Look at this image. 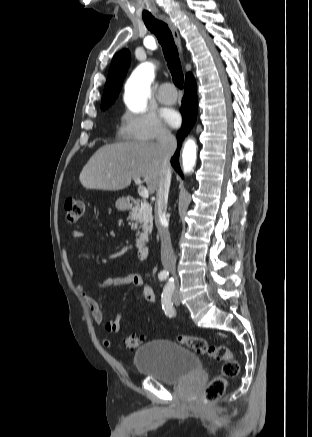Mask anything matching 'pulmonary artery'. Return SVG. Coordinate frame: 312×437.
<instances>
[{
  "label": "pulmonary artery",
  "instance_id": "e3ab8cb5",
  "mask_svg": "<svg viewBox=\"0 0 312 437\" xmlns=\"http://www.w3.org/2000/svg\"><path fill=\"white\" fill-rule=\"evenodd\" d=\"M157 99L162 104L170 105L175 103L177 99V94L173 90L171 84H163L158 91Z\"/></svg>",
  "mask_w": 312,
  "mask_h": 437
}]
</instances>
